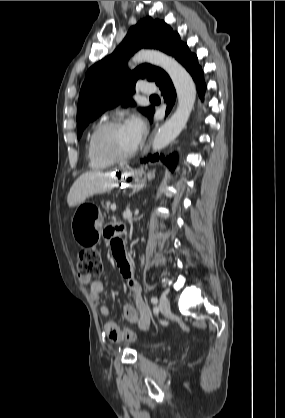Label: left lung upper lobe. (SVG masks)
<instances>
[{
    "label": "left lung upper lobe",
    "instance_id": "obj_1",
    "mask_svg": "<svg viewBox=\"0 0 285 418\" xmlns=\"http://www.w3.org/2000/svg\"><path fill=\"white\" fill-rule=\"evenodd\" d=\"M180 40L177 32L164 21L151 17L132 26L122 43L109 56L92 65L85 76L77 107V137L86 126L106 110L122 104L135 105L131 96L141 79L157 81L162 69L142 64L134 70L127 69L128 59L141 48H155L171 55L173 45ZM150 119L154 108H142Z\"/></svg>",
    "mask_w": 285,
    "mask_h": 418
}]
</instances>
